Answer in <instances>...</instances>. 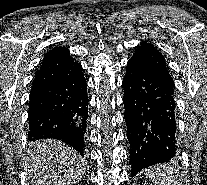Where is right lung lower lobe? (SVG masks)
Wrapping results in <instances>:
<instances>
[{"mask_svg": "<svg viewBox=\"0 0 207 185\" xmlns=\"http://www.w3.org/2000/svg\"><path fill=\"white\" fill-rule=\"evenodd\" d=\"M86 89L81 71L46 88L31 91L28 140L54 138L83 151L88 118Z\"/></svg>", "mask_w": 207, "mask_h": 185, "instance_id": "1", "label": "right lung lower lobe"}]
</instances>
